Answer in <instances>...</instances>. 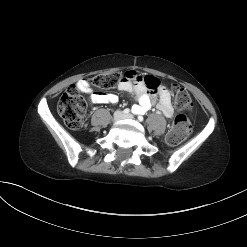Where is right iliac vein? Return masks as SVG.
Segmentation results:
<instances>
[{"mask_svg":"<svg viewBox=\"0 0 247 247\" xmlns=\"http://www.w3.org/2000/svg\"><path fill=\"white\" fill-rule=\"evenodd\" d=\"M122 118H123V114H122L121 111L115 112L114 117H113V120H114L115 122L121 120Z\"/></svg>","mask_w":247,"mask_h":247,"instance_id":"obj_1","label":"right iliac vein"}]
</instances>
